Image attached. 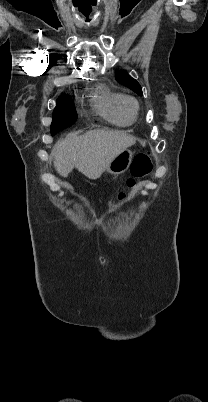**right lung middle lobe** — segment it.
<instances>
[{
    "label": "right lung middle lobe",
    "mask_w": 208,
    "mask_h": 402,
    "mask_svg": "<svg viewBox=\"0 0 208 402\" xmlns=\"http://www.w3.org/2000/svg\"><path fill=\"white\" fill-rule=\"evenodd\" d=\"M76 118L77 116L71 99L66 96H61L59 100H57V106L53 113L51 130L52 125H54L53 129L69 127L75 122Z\"/></svg>",
    "instance_id": "right-lung-middle-lobe-1"
}]
</instances>
